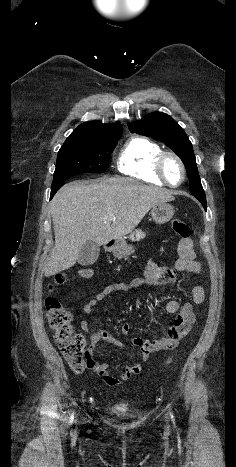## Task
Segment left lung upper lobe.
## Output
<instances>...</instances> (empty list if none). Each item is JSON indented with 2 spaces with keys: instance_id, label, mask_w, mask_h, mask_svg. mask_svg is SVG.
<instances>
[{
  "instance_id": "1",
  "label": "left lung upper lobe",
  "mask_w": 236,
  "mask_h": 467,
  "mask_svg": "<svg viewBox=\"0 0 236 467\" xmlns=\"http://www.w3.org/2000/svg\"><path fill=\"white\" fill-rule=\"evenodd\" d=\"M131 132L155 138L164 142L183 161L193 196H205L198 174L193 147L175 120L169 115L157 112L146 115L142 120L128 123Z\"/></svg>"
}]
</instances>
